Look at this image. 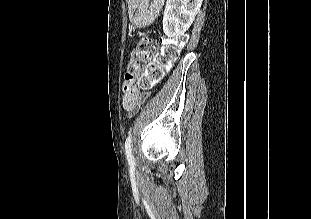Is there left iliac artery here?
Instances as JSON below:
<instances>
[{
	"mask_svg": "<svg viewBox=\"0 0 311 219\" xmlns=\"http://www.w3.org/2000/svg\"><path fill=\"white\" fill-rule=\"evenodd\" d=\"M131 143H132V135L129 133V135L125 141V155H126V158H127L129 163H134V157L132 154Z\"/></svg>",
	"mask_w": 311,
	"mask_h": 219,
	"instance_id": "obj_1",
	"label": "left iliac artery"
}]
</instances>
